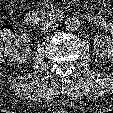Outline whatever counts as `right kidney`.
<instances>
[{"label":"right kidney","instance_id":"right-kidney-1","mask_svg":"<svg viewBox=\"0 0 113 113\" xmlns=\"http://www.w3.org/2000/svg\"><path fill=\"white\" fill-rule=\"evenodd\" d=\"M30 46V36L21 34L10 48V61L18 64L26 63L30 59Z\"/></svg>","mask_w":113,"mask_h":113}]
</instances>
